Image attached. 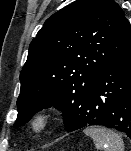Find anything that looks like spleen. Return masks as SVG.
<instances>
[{
  "label": "spleen",
  "mask_w": 131,
  "mask_h": 151,
  "mask_svg": "<svg viewBox=\"0 0 131 151\" xmlns=\"http://www.w3.org/2000/svg\"><path fill=\"white\" fill-rule=\"evenodd\" d=\"M92 138L98 151H124V142L115 132L103 127H89L84 130Z\"/></svg>",
  "instance_id": "spleen-1"
}]
</instances>
